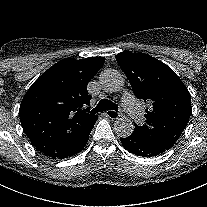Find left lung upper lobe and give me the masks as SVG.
Segmentation results:
<instances>
[{
    "label": "left lung upper lobe",
    "instance_id": "left-lung-upper-lobe-1",
    "mask_svg": "<svg viewBox=\"0 0 207 207\" xmlns=\"http://www.w3.org/2000/svg\"><path fill=\"white\" fill-rule=\"evenodd\" d=\"M117 61L137 98L150 104L140 131L169 150L184 131L192 111L191 96L181 79L163 62L145 53L122 52Z\"/></svg>",
    "mask_w": 207,
    "mask_h": 207
}]
</instances>
